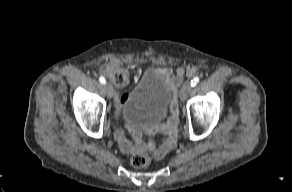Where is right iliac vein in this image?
I'll list each match as a JSON object with an SVG mask.
<instances>
[{
  "instance_id": "obj_1",
  "label": "right iliac vein",
  "mask_w": 292,
  "mask_h": 192,
  "mask_svg": "<svg viewBox=\"0 0 292 192\" xmlns=\"http://www.w3.org/2000/svg\"><path fill=\"white\" fill-rule=\"evenodd\" d=\"M105 90L108 98H112L114 89L110 83L105 84Z\"/></svg>"
}]
</instances>
